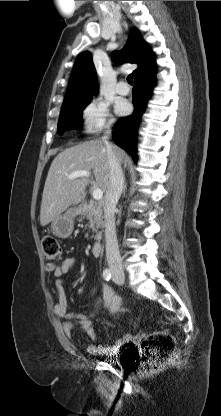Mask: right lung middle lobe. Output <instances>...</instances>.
Segmentation results:
<instances>
[{"instance_id": "obj_1", "label": "right lung middle lobe", "mask_w": 221, "mask_h": 416, "mask_svg": "<svg viewBox=\"0 0 221 416\" xmlns=\"http://www.w3.org/2000/svg\"><path fill=\"white\" fill-rule=\"evenodd\" d=\"M91 97L64 102L61 116L58 124V131L63 134L71 128L82 126L81 114L84 108L89 104Z\"/></svg>"}]
</instances>
